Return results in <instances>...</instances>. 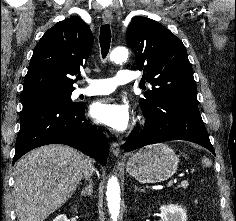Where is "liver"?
I'll return each instance as SVG.
<instances>
[{
	"label": "liver",
	"instance_id": "1",
	"mask_svg": "<svg viewBox=\"0 0 236 221\" xmlns=\"http://www.w3.org/2000/svg\"><path fill=\"white\" fill-rule=\"evenodd\" d=\"M87 157L59 144L32 150L14 171V202L19 221H44L60 208L82 179Z\"/></svg>",
	"mask_w": 236,
	"mask_h": 221
}]
</instances>
